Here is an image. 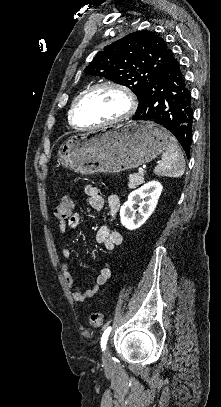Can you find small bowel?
<instances>
[{"instance_id": "small-bowel-1", "label": "small bowel", "mask_w": 221, "mask_h": 407, "mask_svg": "<svg viewBox=\"0 0 221 407\" xmlns=\"http://www.w3.org/2000/svg\"><path fill=\"white\" fill-rule=\"evenodd\" d=\"M84 193L86 195L89 205L95 210H102L105 206V200L102 197L100 190L93 184H86L84 186ZM108 216L111 220H116L119 215L120 198L117 194H110L107 197ZM79 215L74 214L66 221L58 222V230L61 235H65L68 229H77L79 225ZM96 242L106 249H113L122 242V236L119 230L115 227L103 226L99 229L96 235ZM63 258L60 269L66 285L69 287L72 296L76 302H82L87 298L94 297L100 290V287L107 283L111 278V269L109 266H103L96 278L95 284L86 291H80L76 288V283L73 275L70 272V251L63 249Z\"/></svg>"}]
</instances>
